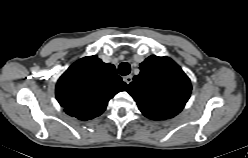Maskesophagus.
<instances>
[{"instance_id": "1", "label": "esophagus", "mask_w": 248, "mask_h": 158, "mask_svg": "<svg viewBox=\"0 0 248 158\" xmlns=\"http://www.w3.org/2000/svg\"><path fill=\"white\" fill-rule=\"evenodd\" d=\"M123 80L127 85H129L131 83V81H132V76L127 75V76L123 77Z\"/></svg>"}]
</instances>
